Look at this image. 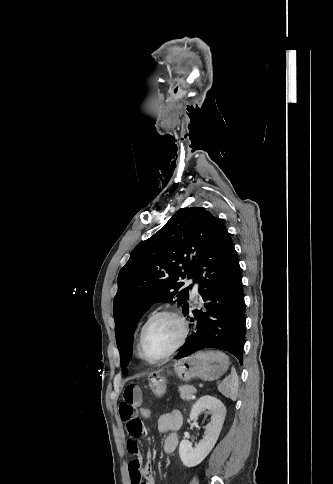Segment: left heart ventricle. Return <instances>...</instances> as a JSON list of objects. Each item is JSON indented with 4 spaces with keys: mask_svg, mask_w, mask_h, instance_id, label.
I'll return each mask as SVG.
<instances>
[{
    "mask_svg": "<svg viewBox=\"0 0 333 484\" xmlns=\"http://www.w3.org/2000/svg\"><path fill=\"white\" fill-rule=\"evenodd\" d=\"M181 334L179 323L171 317L156 319L147 329L144 337V352L152 358H159L167 353L177 342Z\"/></svg>",
    "mask_w": 333,
    "mask_h": 484,
    "instance_id": "b2bd125f",
    "label": "left heart ventricle"
}]
</instances>
